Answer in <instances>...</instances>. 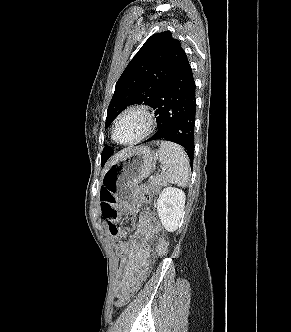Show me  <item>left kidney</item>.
<instances>
[{
  "label": "left kidney",
  "instance_id": "1",
  "mask_svg": "<svg viewBox=\"0 0 291 332\" xmlns=\"http://www.w3.org/2000/svg\"><path fill=\"white\" fill-rule=\"evenodd\" d=\"M185 193L175 187L163 189L157 200V213L168 232L175 231L184 215Z\"/></svg>",
  "mask_w": 291,
  "mask_h": 332
}]
</instances>
